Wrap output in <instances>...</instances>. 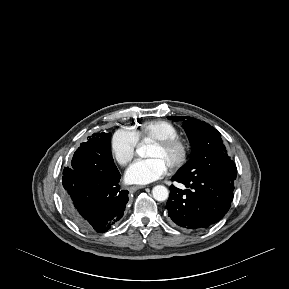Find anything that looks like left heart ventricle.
<instances>
[{"instance_id":"left-heart-ventricle-1","label":"left heart ventricle","mask_w":289,"mask_h":289,"mask_svg":"<svg viewBox=\"0 0 289 289\" xmlns=\"http://www.w3.org/2000/svg\"><path fill=\"white\" fill-rule=\"evenodd\" d=\"M147 158H156L160 160L167 168L176 160L177 151L174 149L161 150L153 145L148 148Z\"/></svg>"}]
</instances>
